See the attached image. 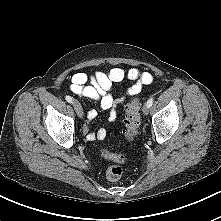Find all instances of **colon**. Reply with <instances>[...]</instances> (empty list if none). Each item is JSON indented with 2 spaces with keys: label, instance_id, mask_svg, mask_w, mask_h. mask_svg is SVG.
Masks as SVG:
<instances>
[{
  "label": "colon",
  "instance_id": "colon-1",
  "mask_svg": "<svg viewBox=\"0 0 221 221\" xmlns=\"http://www.w3.org/2000/svg\"><path fill=\"white\" fill-rule=\"evenodd\" d=\"M140 106L139 99H134L125 106L124 131L123 135L127 141H132L138 134L140 125ZM100 156L111 161L113 164L106 169V177L110 181H117L122 175L121 164L124 157L121 154L111 152L107 148L100 150Z\"/></svg>",
  "mask_w": 221,
  "mask_h": 221
}]
</instances>
